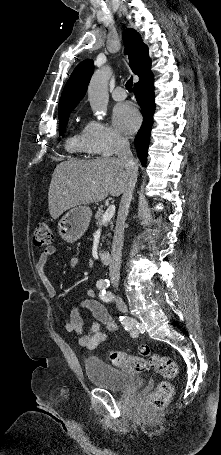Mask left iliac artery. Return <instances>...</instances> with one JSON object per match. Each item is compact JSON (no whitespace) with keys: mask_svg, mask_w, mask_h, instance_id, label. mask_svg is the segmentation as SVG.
I'll return each instance as SVG.
<instances>
[{"mask_svg":"<svg viewBox=\"0 0 221 455\" xmlns=\"http://www.w3.org/2000/svg\"><path fill=\"white\" fill-rule=\"evenodd\" d=\"M99 296L103 301H106V302L112 300V298H113L112 294L109 292L106 293V291H102V293Z\"/></svg>","mask_w":221,"mask_h":455,"instance_id":"obj_1","label":"left iliac artery"}]
</instances>
